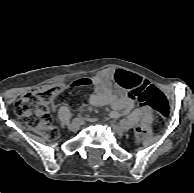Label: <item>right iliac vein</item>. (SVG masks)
Wrapping results in <instances>:
<instances>
[{
	"label": "right iliac vein",
	"mask_w": 194,
	"mask_h": 193,
	"mask_svg": "<svg viewBox=\"0 0 194 193\" xmlns=\"http://www.w3.org/2000/svg\"><path fill=\"white\" fill-rule=\"evenodd\" d=\"M81 124H82V121L72 122L71 124H69L68 127L71 131L76 132L79 130Z\"/></svg>",
	"instance_id": "obj_1"
}]
</instances>
